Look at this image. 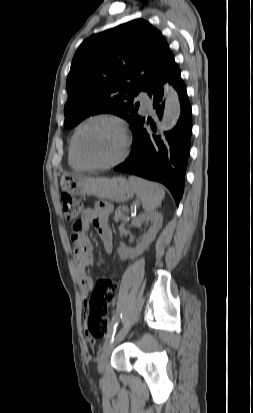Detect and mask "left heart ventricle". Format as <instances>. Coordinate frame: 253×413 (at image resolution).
Returning a JSON list of instances; mask_svg holds the SVG:
<instances>
[{"instance_id":"obj_1","label":"left heart ventricle","mask_w":253,"mask_h":413,"mask_svg":"<svg viewBox=\"0 0 253 413\" xmlns=\"http://www.w3.org/2000/svg\"><path fill=\"white\" fill-rule=\"evenodd\" d=\"M121 133L116 125L97 121L86 126L78 137L81 156L91 163H105L115 159L122 151Z\"/></svg>"}]
</instances>
